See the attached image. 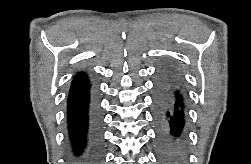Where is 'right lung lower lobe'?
I'll return each mask as SVG.
<instances>
[{
    "label": "right lung lower lobe",
    "mask_w": 251,
    "mask_h": 164,
    "mask_svg": "<svg viewBox=\"0 0 251 164\" xmlns=\"http://www.w3.org/2000/svg\"><path fill=\"white\" fill-rule=\"evenodd\" d=\"M90 88L85 73L74 77L67 99V123L73 159L96 163L101 155L100 122L90 100Z\"/></svg>",
    "instance_id": "98d812e1"
}]
</instances>
